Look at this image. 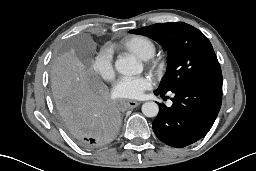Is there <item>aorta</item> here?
<instances>
[{"mask_svg":"<svg viewBox=\"0 0 256 171\" xmlns=\"http://www.w3.org/2000/svg\"><path fill=\"white\" fill-rule=\"evenodd\" d=\"M115 69L122 75H136L142 72V65L134 57L122 56L115 61ZM159 112V106L155 102H145L142 105V113L146 117H155Z\"/></svg>","mask_w":256,"mask_h":171,"instance_id":"obj_1","label":"aorta"}]
</instances>
